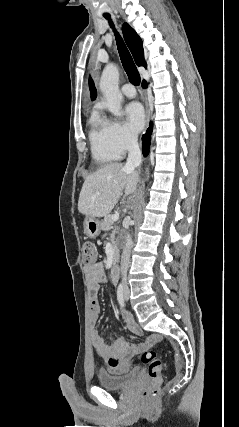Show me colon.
I'll use <instances>...</instances> for the list:
<instances>
[{
  "label": "colon",
  "mask_w": 239,
  "mask_h": 427,
  "mask_svg": "<svg viewBox=\"0 0 239 427\" xmlns=\"http://www.w3.org/2000/svg\"><path fill=\"white\" fill-rule=\"evenodd\" d=\"M82 253L83 263L86 266H91L96 262L97 252L92 243H85L82 248ZM140 360L148 368L150 383L142 393L143 398L148 399L157 393L162 383L163 364L157 353L152 350L144 351L140 355Z\"/></svg>",
  "instance_id": "obj_1"
}]
</instances>
